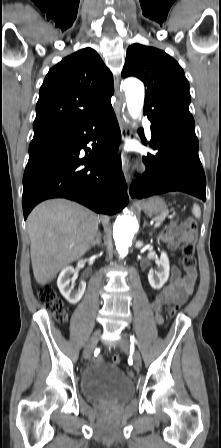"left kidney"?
<instances>
[{
	"instance_id": "obj_1",
	"label": "left kidney",
	"mask_w": 221,
	"mask_h": 448,
	"mask_svg": "<svg viewBox=\"0 0 221 448\" xmlns=\"http://www.w3.org/2000/svg\"><path fill=\"white\" fill-rule=\"evenodd\" d=\"M143 246L142 242L137 243V247L141 248ZM170 264L166 252L162 251L160 256V261L158 263L157 270L150 271L148 274V281L153 289L159 290L167 282L169 278Z\"/></svg>"
}]
</instances>
